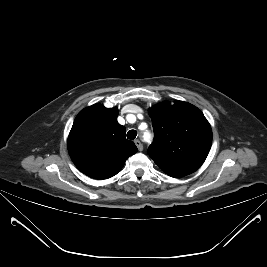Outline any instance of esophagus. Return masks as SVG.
I'll use <instances>...</instances> for the list:
<instances>
[{"label":"esophagus","instance_id":"esophagus-1","mask_svg":"<svg viewBox=\"0 0 267 267\" xmlns=\"http://www.w3.org/2000/svg\"><path fill=\"white\" fill-rule=\"evenodd\" d=\"M135 145L137 146L139 151L143 150V145L140 140H135Z\"/></svg>","mask_w":267,"mask_h":267}]
</instances>
